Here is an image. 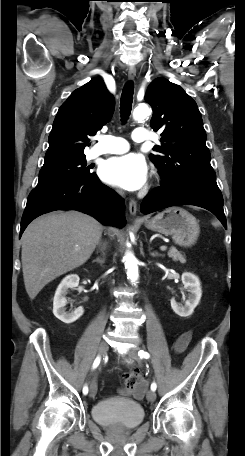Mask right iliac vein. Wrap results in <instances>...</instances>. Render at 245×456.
Returning <instances> with one entry per match:
<instances>
[{
  "instance_id": "obj_1",
  "label": "right iliac vein",
  "mask_w": 245,
  "mask_h": 456,
  "mask_svg": "<svg viewBox=\"0 0 245 456\" xmlns=\"http://www.w3.org/2000/svg\"><path fill=\"white\" fill-rule=\"evenodd\" d=\"M108 351V344L104 341H102L99 345V349H98V354L101 356V357H104L106 355ZM97 393V383L95 380L92 381L91 385H90V397L94 398L95 395Z\"/></svg>"
}]
</instances>
